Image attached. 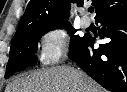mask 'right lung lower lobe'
I'll return each mask as SVG.
<instances>
[{
  "mask_svg": "<svg viewBox=\"0 0 127 92\" xmlns=\"http://www.w3.org/2000/svg\"><path fill=\"white\" fill-rule=\"evenodd\" d=\"M102 26L100 39L110 41L94 49L87 34L81 44L69 52L89 76L112 92H127V8L101 15L96 19Z\"/></svg>",
  "mask_w": 127,
  "mask_h": 92,
  "instance_id": "right-lung-lower-lobe-1",
  "label": "right lung lower lobe"
}]
</instances>
